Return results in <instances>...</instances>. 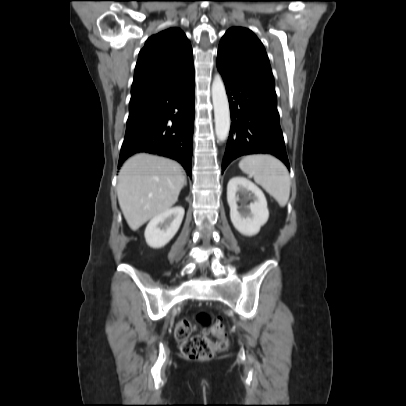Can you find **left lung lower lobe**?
Segmentation results:
<instances>
[{"mask_svg": "<svg viewBox=\"0 0 406 406\" xmlns=\"http://www.w3.org/2000/svg\"><path fill=\"white\" fill-rule=\"evenodd\" d=\"M231 110V130L222 171L239 156L269 153L287 167L274 85L217 58Z\"/></svg>", "mask_w": 406, "mask_h": 406, "instance_id": "obj_1", "label": "left lung lower lobe"}]
</instances>
